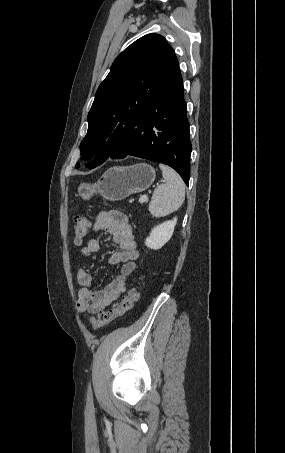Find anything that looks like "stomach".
I'll list each match as a JSON object with an SVG mask.
<instances>
[{"label":"stomach","instance_id":"obj_1","mask_svg":"<svg viewBox=\"0 0 285 453\" xmlns=\"http://www.w3.org/2000/svg\"><path fill=\"white\" fill-rule=\"evenodd\" d=\"M155 170L146 163L109 168L94 184L81 183L79 195L89 199L94 194L108 201H120L128 196L147 190L155 180Z\"/></svg>","mask_w":285,"mask_h":453}]
</instances>
